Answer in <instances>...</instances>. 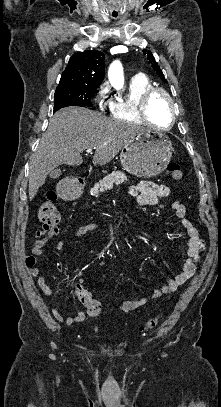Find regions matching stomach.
<instances>
[{
    "label": "stomach",
    "mask_w": 221,
    "mask_h": 407,
    "mask_svg": "<svg viewBox=\"0 0 221 407\" xmlns=\"http://www.w3.org/2000/svg\"><path fill=\"white\" fill-rule=\"evenodd\" d=\"M173 153L170 139L159 132L145 131L135 136L121 150L120 161L128 173L137 177H153L168 165ZM82 191L69 186L65 193L68 200L79 198Z\"/></svg>",
    "instance_id": "1"
}]
</instances>
